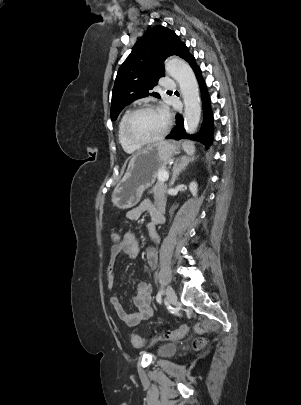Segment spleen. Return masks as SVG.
Returning <instances> with one entry per match:
<instances>
[{
  "instance_id": "obj_1",
  "label": "spleen",
  "mask_w": 301,
  "mask_h": 405,
  "mask_svg": "<svg viewBox=\"0 0 301 405\" xmlns=\"http://www.w3.org/2000/svg\"><path fill=\"white\" fill-rule=\"evenodd\" d=\"M182 146L188 155L192 156L195 153V147L191 142H184Z\"/></svg>"
}]
</instances>
